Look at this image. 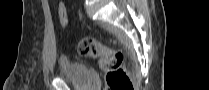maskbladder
Here are the masks:
<instances>
[{"instance_id":"bladder-1","label":"bladder","mask_w":209,"mask_h":90,"mask_svg":"<svg viewBox=\"0 0 209 90\" xmlns=\"http://www.w3.org/2000/svg\"><path fill=\"white\" fill-rule=\"evenodd\" d=\"M58 77L78 88L95 87L91 70L81 62L72 61L65 56L58 61Z\"/></svg>"}]
</instances>
